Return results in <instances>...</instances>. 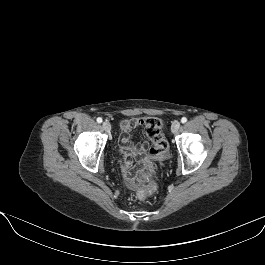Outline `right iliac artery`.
<instances>
[{
  "instance_id": "1",
  "label": "right iliac artery",
  "mask_w": 265,
  "mask_h": 265,
  "mask_svg": "<svg viewBox=\"0 0 265 265\" xmlns=\"http://www.w3.org/2000/svg\"><path fill=\"white\" fill-rule=\"evenodd\" d=\"M97 122H98V123H102V118L98 117V118H97Z\"/></svg>"
}]
</instances>
